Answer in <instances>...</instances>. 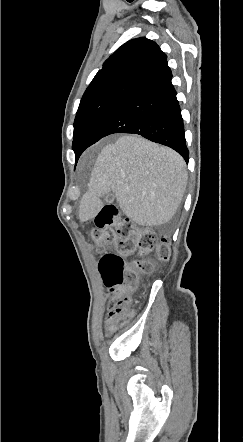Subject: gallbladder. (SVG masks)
I'll return each instance as SVG.
<instances>
[{"label":"gallbladder","instance_id":"bac80fb5","mask_svg":"<svg viewBox=\"0 0 243 442\" xmlns=\"http://www.w3.org/2000/svg\"><path fill=\"white\" fill-rule=\"evenodd\" d=\"M115 198L116 197L113 193H108V194L104 195L103 202H104V204L111 203V201L116 200Z\"/></svg>","mask_w":243,"mask_h":442}]
</instances>
